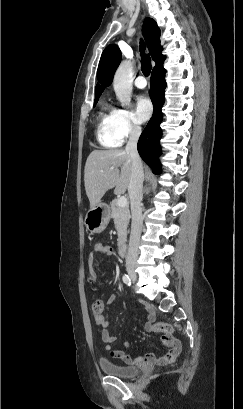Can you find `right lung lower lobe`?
Masks as SVG:
<instances>
[{"mask_svg":"<svg viewBox=\"0 0 243 409\" xmlns=\"http://www.w3.org/2000/svg\"><path fill=\"white\" fill-rule=\"evenodd\" d=\"M165 57L154 67L150 80V96L154 106L152 118L142 132L138 141V152L141 158L152 168L154 173L161 172V164L158 160L161 154L160 138L162 131L160 123L162 121L161 108L164 104V90L166 88L165 73L163 67Z\"/></svg>","mask_w":243,"mask_h":409,"instance_id":"98d812e1","label":"right lung lower lobe"}]
</instances>
